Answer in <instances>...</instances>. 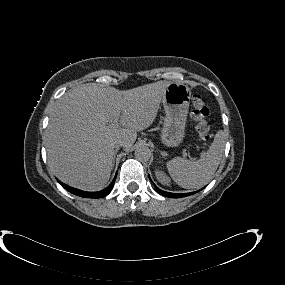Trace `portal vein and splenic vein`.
<instances>
[{
  "instance_id": "obj_1",
  "label": "portal vein and splenic vein",
  "mask_w": 285,
  "mask_h": 285,
  "mask_svg": "<svg viewBox=\"0 0 285 285\" xmlns=\"http://www.w3.org/2000/svg\"><path fill=\"white\" fill-rule=\"evenodd\" d=\"M113 125H114V126H119V125H120V122H119V121H115V122L113 123ZM187 155H188V154L186 153V151H183V157H184V158H187Z\"/></svg>"
}]
</instances>
